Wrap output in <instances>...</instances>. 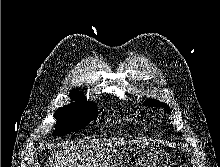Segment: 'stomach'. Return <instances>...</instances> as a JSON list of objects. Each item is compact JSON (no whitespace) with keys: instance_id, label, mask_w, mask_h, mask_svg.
I'll use <instances>...</instances> for the list:
<instances>
[{"instance_id":"1","label":"stomach","mask_w":220,"mask_h":167,"mask_svg":"<svg viewBox=\"0 0 220 167\" xmlns=\"http://www.w3.org/2000/svg\"><path fill=\"white\" fill-rule=\"evenodd\" d=\"M111 167H170L163 149L153 142H133L121 147Z\"/></svg>"}]
</instances>
